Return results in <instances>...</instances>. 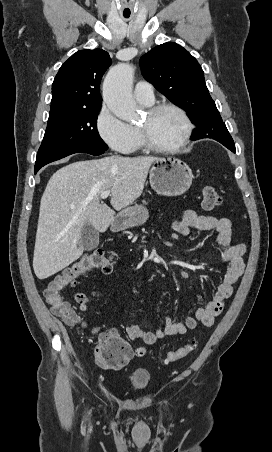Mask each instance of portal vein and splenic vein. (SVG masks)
Wrapping results in <instances>:
<instances>
[{"instance_id": "portal-vein-and-splenic-vein-1", "label": "portal vein and splenic vein", "mask_w": 272, "mask_h": 452, "mask_svg": "<svg viewBox=\"0 0 272 452\" xmlns=\"http://www.w3.org/2000/svg\"><path fill=\"white\" fill-rule=\"evenodd\" d=\"M111 191L107 190L101 193L100 198L101 199H106L108 196H110Z\"/></svg>"}]
</instances>
